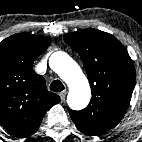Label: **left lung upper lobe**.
I'll return each instance as SVG.
<instances>
[{
    "instance_id": "left-lung-upper-lobe-1",
    "label": "left lung upper lobe",
    "mask_w": 142,
    "mask_h": 142,
    "mask_svg": "<svg viewBox=\"0 0 142 142\" xmlns=\"http://www.w3.org/2000/svg\"><path fill=\"white\" fill-rule=\"evenodd\" d=\"M81 57L92 98L81 111L70 110L80 132L103 134L125 115L135 83L134 64L125 47L109 33L88 28L64 36Z\"/></svg>"
}]
</instances>
